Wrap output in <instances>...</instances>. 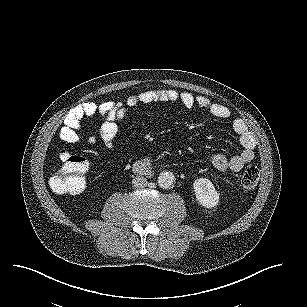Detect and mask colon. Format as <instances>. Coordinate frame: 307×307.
I'll use <instances>...</instances> for the list:
<instances>
[{"mask_svg":"<svg viewBox=\"0 0 307 307\" xmlns=\"http://www.w3.org/2000/svg\"><path fill=\"white\" fill-rule=\"evenodd\" d=\"M91 141L94 139L91 138ZM62 166L51 177L50 186L57 194H78L86 186L88 165L86 160L68 151L60 154ZM260 171L257 166L250 165L242 173L240 185L243 190L253 189L259 180Z\"/></svg>","mask_w":307,"mask_h":307,"instance_id":"5ec220e1","label":"colon"}]
</instances>
